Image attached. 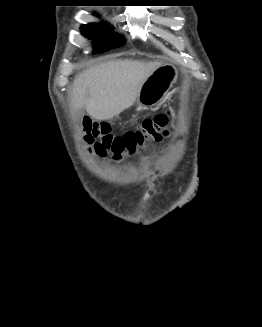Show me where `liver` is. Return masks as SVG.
Wrapping results in <instances>:
<instances>
[{
    "label": "liver",
    "instance_id": "6515ba94",
    "mask_svg": "<svg viewBox=\"0 0 262 327\" xmlns=\"http://www.w3.org/2000/svg\"><path fill=\"white\" fill-rule=\"evenodd\" d=\"M160 62L112 60L95 65L75 80L71 90L72 110L85 106L89 116L109 120L131 107L145 80Z\"/></svg>",
    "mask_w": 262,
    "mask_h": 327
}]
</instances>
